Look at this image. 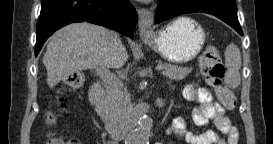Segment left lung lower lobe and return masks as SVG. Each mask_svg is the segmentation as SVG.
I'll use <instances>...</instances> for the list:
<instances>
[{
	"label": "left lung lower lobe",
	"mask_w": 273,
	"mask_h": 144,
	"mask_svg": "<svg viewBox=\"0 0 273 144\" xmlns=\"http://www.w3.org/2000/svg\"><path fill=\"white\" fill-rule=\"evenodd\" d=\"M204 12L214 15L243 35L235 0H159L155 24L182 14Z\"/></svg>",
	"instance_id": "left-lung-lower-lobe-1"
}]
</instances>
